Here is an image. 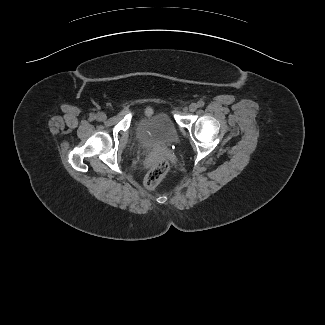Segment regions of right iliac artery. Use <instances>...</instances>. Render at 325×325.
Returning a JSON list of instances; mask_svg holds the SVG:
<instances>
[{
	"mask_svg": "<svg viewBox=\"0 0 325 325\" xmlns=\"http://www.w3.org/2000/svg\"><path fill=\"white\" fill-rule=\"evenodd\" d=\"M96 118L95 114H90V120H94Z\"/></svg>",
	"mask_w": 325,
	"mask_h": 325,
	"instance_id": "1",
	"label": "right iliac artery"
}]
</instances>
